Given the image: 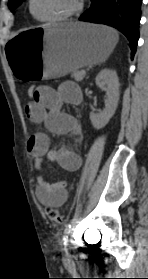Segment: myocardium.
Returning a JSON list of instances; mask_svg holds the SVG:
<instances>
[{
  "label": "myocardium",
  "instance_id": "myocardium-1",
  "mask_svg": "<svg viewBox=\"0 0 148 279\" xmlns=\"http://www.w3.org/2000/svg\"><path fill=\"white\" fill-rule=\"evenodd\" d=\"M33 1L34 0H29V4H28L29 12L34 19H36L39 22H44V23H59V22H64V21L73 19L80 14V12L82 11L83 6H84L83 0H75L74 7L71 8L70 10H68L66 13L59 15V16L42 18L35 14V12L33 10Z\"/></svg>",
  "mask_w": 148,
  "mask_h": 279
}]
</instances>
